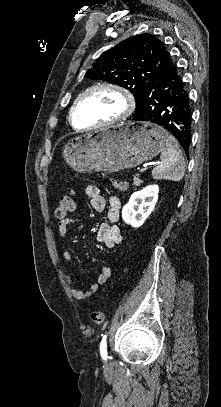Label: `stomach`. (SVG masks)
Here are the masks:
<instances>
[{"mask_svg": "<svg viewBox=\"0 0 221 407\" xmlns=\"http://www.w3.org/2000/svg\"><path fill=\"white\" fill-rule=\"evenodd\" d=\"M167 132L149 122H127L71 138L63 147L75 171L118 172L151 160L166 148Z\"/></svg>", "mask_w": 221, "mask_h": 407, "instance_id": "0dacf381", "label": "stomach"}]
</instances>
